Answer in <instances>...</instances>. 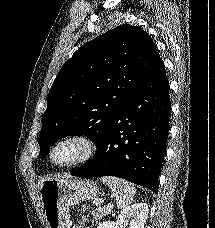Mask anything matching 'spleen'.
Returning <instances> with one entry per match:
<instances>
[{
	"instance_id": "3e777b00",
	"label": "spleen",
	"mask_w": 215,
	"mask_h": 228,
	"mask_svg": "<svg viewBox=\"0 0 215 228\" xmlns=\"http://www.w3.org/2000/svg\"><path fill=\"white\" fill-rule=\"evenodd\" d=\"M101 182L109 186L117 202L118 210L127 208L129 204H132L136 190L131 182L120 180V178H113V176H104V178H101Z\"/></svg>"
}]
</instances>
